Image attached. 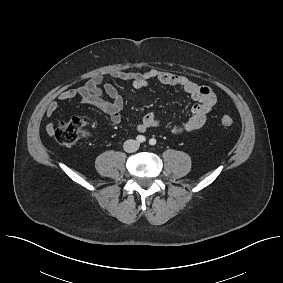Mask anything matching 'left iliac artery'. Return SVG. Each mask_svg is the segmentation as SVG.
<instances>
[{"label":"left iliac artery","instance_id":"obj_1","mask_svg":"<svg viewBox=\"0 0 283 283\" xmlns=\"http://www.w3.org/2000/svg\"><path fill=\"white\" fill-rule=\"evenodd\" d=\"M149 144H150V145H155V144H156V139L151 138V139L149 140Z\"/></svg>","mask_w":283,"mask_h":283}]
</instances>
